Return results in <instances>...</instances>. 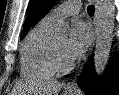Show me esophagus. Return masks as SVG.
<instances>
[{"mask_svg": "<svg viewBox=\"0 0 119 95\" xmlns=\"http://www.w3.org/2000/svg\"><path fill=\"white\" fill-rule=\"evenodd\" d=\"M99 20V12H98V6H95V14H94V26H95V33L97 32V25ZM67 88L70 89H77L76 80H72L67 84Z\"/></svg>", "mask_w": 119, "mask_h": 95, "instance_id": "obj_1", "label": "esophagus"}]
</instances>
